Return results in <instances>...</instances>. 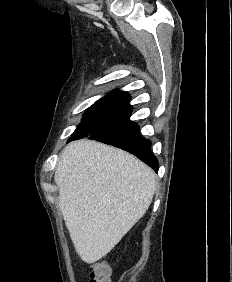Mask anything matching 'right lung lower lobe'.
<instances>
[{
	"label": "right lung lower lobe",
	"instance_id": "obj_1",
	"mask_svg": "<svg viewBox=\"0 0 232 282\" xmlns=\"http://www.w3.org/2000/svg\"><path fill=\"white\" fill-rule=\"evenodd\" d=\"M88 138L128 151L156 172L158 171V160L151 151V142L139 135V126L136 123L119 130L95 134Z\"/></svg>",
	"mask_w": 232,
	"mask_h": 282
}]
</instances>
